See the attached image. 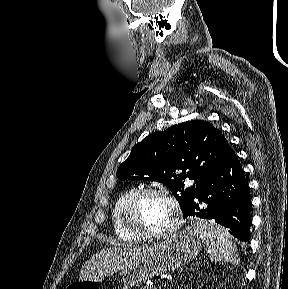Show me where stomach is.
Listing matches in <instances>:
<instances>
[{
    "instance_id": "stomach-1",
    "label": "stomach",
    "mask_w": 288,
    "mask_h": 289,
    "mask_svg": "<svg viewBox=\"0 0 288 289\" xmlns=\"http://www.w3.org/2000/svg\"><path fill=\"white\" fill-rule=\"evenodd\" d=\"M201 247L202 240L189 226L148 247L139 260L94 279L79 280L66 289H131L183 266L196 257Z\"/></svg>"
}]
</instances>
